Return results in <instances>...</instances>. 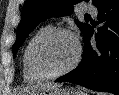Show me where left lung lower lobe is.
Listing matches in <instances>:
<instances>
[{"mask_svg":"<svg viewBox=\"0 0 119 95\" xmlns=\"http://www.w3.org/2000/svg\"><path fill=\"white\" fill-rule=\"evenodd\" d=\"M96 44L92 26L84 33V52L77 68L55 82L76 83L86 88L119 95V0H103L98 6Z\"/></svg>","mask_w":119,"mask_h":95,"instance_id":"1","label":"left lung lower lobe"}]
</instances>
